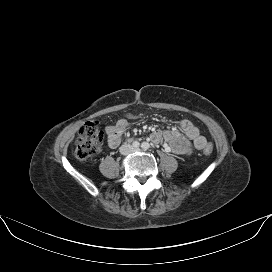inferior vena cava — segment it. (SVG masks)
Segmentation results:
<instances>
[{"mask_svg":"<svg viewBox=\"0 0 272 272\" xmlns=\"http://www.w3.org/2000/svg\"><path fill=\"white\" fill-rule=\"evenodd\" d=\"M119 151L122 155H130L135 151V148L130 144H123L120 146Z\"/></svg>","mask_w":272,"mask_h":272,"instance_id":"1","label":"inferior vena cava"}]
</instances>
